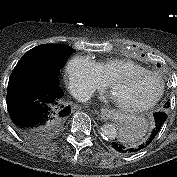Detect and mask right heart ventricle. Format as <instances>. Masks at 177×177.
<instances>
[{
  "mask_svg": "<svg viewBox=\"0 0 177 177\" xmlns=\"http://www.w3.org/2000/svg\"><path fill=\"white\" fill-rule=\"evenodd\" d=\"M95 64L106 82H110L115 76L128 71L145 70L142 65L125 58H110L97 61Z\"/></svg>",
  "mask_w": 177,
  "mask_h": 177,
  "instance_id": "e07e8e85",
  "label": "right heart ventricle"
}]
</instances>
